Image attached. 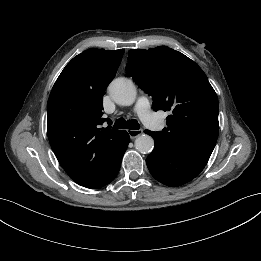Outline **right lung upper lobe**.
<instances>
[{
	"label": "right lung upper lobe",
	"instance_id": "cb5924a9",
	"mask_svg": "<svg viewBox=\"0 0 261 261\" xmlns=\"http://www.w3.org/2000/svg\"><path fill=\"white\" fill-rule=\"evenodd\" d=\"M124 49L91 48L74 57L56 80L47 103V132L60 165L79 185L110 163L125 131L101 128L102 98Z\"/></svg>",
	"mask_w": 261,
	"mask_h": 261
}]
</instances>
